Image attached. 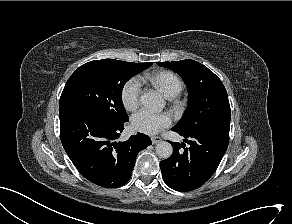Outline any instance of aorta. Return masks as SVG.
I'll return each instance as SVG.
<instances>
[{"instance_id": "aorta-1", "label": "aorta", "mask_w": 292, "mask_h": 224, "mask_svg": "<svg viewBox=\"0 0 292 224\" xmlns=\"http://www.w3.org/2000/svg\"><path fill=\"white\" fill-rule=\"evenodd\" d=\"M140 101L143 106L160 110L164 106L162 96L155 91H149L141 95ZM156 153L161 158H169L173 153V147L169 142L161 141L156 145Z\"/></svg>"}]
</instances>
